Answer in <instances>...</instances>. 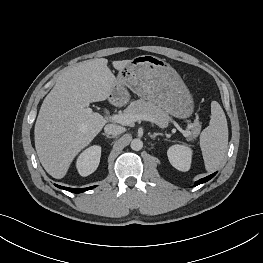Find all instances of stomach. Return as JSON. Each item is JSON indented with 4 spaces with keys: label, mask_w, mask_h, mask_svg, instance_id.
Listing matches in <instances>:
<instances>
[{
    "label": "stomach",
    "mask_w": 263,
    "mask_h": 263,
    "mask_svg": "<svg viewBox=\"0 0 263 263\" xmlns=\"http://www.w3.org/2000/svg\"><path fill=\"white\" fill-rule=\"evenodd\" d=\"M127 88L176 118L186 119L193 113L194 101L188 88L176 70L158 57L137 56L119 71L111 94L125 101Z\"/></svg>",
    "instance_id": "obj_1"
}]
</instances>
